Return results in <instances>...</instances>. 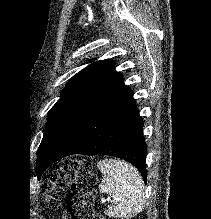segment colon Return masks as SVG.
<instances>
[{
  "label": "colon",
  "instance_id": "5ec220e1",
  "mask_svg": "<svg viewBox=\"0 0 211 219\" xmlns=\"http://www.w3.org/2000/svg\"><path fill=\"white\" fill-rule=\"evenodd\" d=\"M96 183L88 161L69 159L57 165L44 185V196L52 208L65 197L71 219H104L93 203ZM67 186L69 191L65 193Z\"/></svg>",
  "mask_w": 211,
  "mask_h": 219
}]
</instances>
